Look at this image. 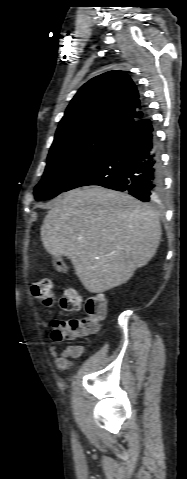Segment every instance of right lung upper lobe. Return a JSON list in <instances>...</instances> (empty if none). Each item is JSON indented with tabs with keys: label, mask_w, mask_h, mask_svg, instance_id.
I'll return each mask as SVG.
<instances>
[{
	"label": "right lung upper lobe",
	"mask_w": 187,
	"mask_h": 479,
	"mask_svg": "<svg viewBox=\"0 0 187 479\" xmlns=\"http://www.w3.org/2000/svg\"><path fill=\"white\" fill-rule=\"evenodd\" d=\"M145 115L136 85L123 71H109L85 83L72 99L56 135L90 125L122 131Z\"/></svg>",
	"instance_id": "1"
}]
</instances>
